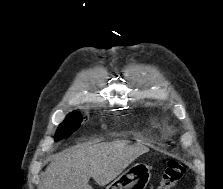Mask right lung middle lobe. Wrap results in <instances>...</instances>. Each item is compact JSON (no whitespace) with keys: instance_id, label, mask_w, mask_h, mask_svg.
<instances>
[{"instance_id":"obj_1","label":"right lung middle lobe","mask_w":223,"mask_h":189,"mask_svg":"<svg viewBox=\"0 0 223 189\" xmlns=\"http://www.w3.org/2000/svg\"><path fill=\"white\" fill-rule=\"evenodd\" d=\"M81 121L82 118L79 111L69 113L66 119L59 125L55 134V141H59L70 136L80 127Z\"/></svg>"}]
</instances>
